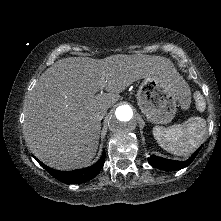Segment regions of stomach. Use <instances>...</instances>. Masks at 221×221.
<instances>
[{"instance_id": "stomach-1", "label": "stomach", "mask_w": 221, "mask_h": 221, "mask_svg": "<svg viewBox=\"0 0 221 221\" xmlns=\"http://www.w3.org/2000/svg\"><path fill=\"white\" fill-rule=\"evenodd\" d=\"M137 103L150 122L166 124L175 117L177 106L188 108L190 91L177 72L144 78L137 92Z\"/></svg>"}]
</instances>
